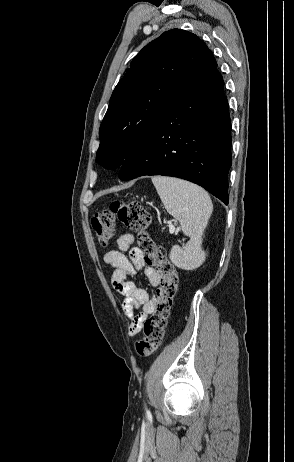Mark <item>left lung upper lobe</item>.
I'll list each match as a JSON object with an SVG mask.
<instances>
[{
	"label": "left lung upper lobe",
	"instance_id": "5c2ea615",
	"mask_svg": "<svg viewBox=\"0 0 294 462\" xmlns=\"http://www.w3.org/2000/svg\"><path fill=\"white\" fill-rule=\"evenodd\" d=\"M99 129L98 162L116 169L145 139L178 94L217 68L207 45L181 29L164 32L131 62Z\"/></svg>",
	"mask_w": 294,
	"mask_h": 462
}]
</instances>
